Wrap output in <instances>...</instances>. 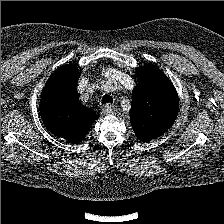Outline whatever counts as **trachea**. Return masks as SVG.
I'll return each instance as SVG.
<instances>
[{
  "label": "trachea",
  "mask_w": 224,
  "mask_h": 224,
  "mask_svg": "<svg viewBox=\"0 0 224 224\" xmlns=\"http://www.w3.org/2000/svg\"><path fill=\"white\" fill-rule=\"evenodd\" d=\"M113 102V98L110 95H104L103 99H102V105L106 104V103H112Z\"/></svg>",
  "instance_id": "obj_1"
}]
</instances>
